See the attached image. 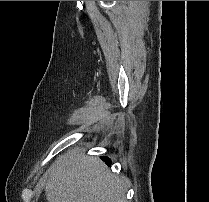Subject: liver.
<instances>
[{"instance_id":"obj_1","label":"liver","mask_w":209,"mask_h":202,"mask_svg":"<svg viewBox=\"0 0 209 202\" xmlns=\"http://www.w3.org/2000/svg\"><path fill=\"white\" fill-rule=\"evenodd\" d=\"M48 202H126V184L97 157L60 155L44 175Z\"/></svg>"}]
</instances>
